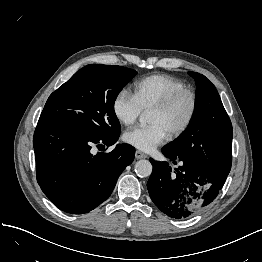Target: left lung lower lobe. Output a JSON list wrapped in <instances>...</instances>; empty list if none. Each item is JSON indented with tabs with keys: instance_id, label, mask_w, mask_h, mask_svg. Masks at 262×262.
<instances>
[{
	"instance_id": "left-lung-lower-lobe-1",
	"label": "left lung lower lobe",
	"mask_w": 262,
	"mask_h": 262,
	"mask_svg": "<svg viewBox=\"0 0 262 262\" xmlns=\"http://www.w3.org/2000/svg\"><path fill=\"white\" fill-rule=\"evenodd\" d=\"M162 153L179 167L150 159L153 165L147 189L153 203L166 215L187 219L208 206L218 195L231 169L228 155L218 169H207L193 161Z\"/></svg>"
}]
</instances>
